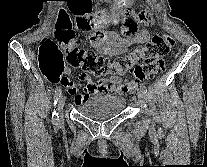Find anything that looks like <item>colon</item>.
<instances>
[{
	"label": "colon",
	"instance_id": "1",
	"mask_svg": "<svg viewBox=\"0 0 207 167\" xmlns=\"http://www.w3.org/2000/svg\"><path fill=\"white\" fill-rule=\"evenodd\" d=\"M58 45L64 48L65 55ZM173 45V40L166 34L155 35L151 41L135 49L124 57L113 61L96 54L90 49L78 46L67 12L61 11L56 20L55 40L46 39L42 42L38 65L40 72L50 82L57 83L63 74L64 60L81 67L86 73L102 77L111 73V65L116 64L122 72L130 71L128 82L137 83L146 78L154 77L165 67V57Z\"/></svg>",
	"mask_w": 207,
	"mask_h": 167
}]
</instances>
